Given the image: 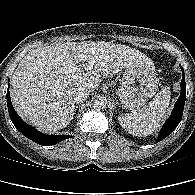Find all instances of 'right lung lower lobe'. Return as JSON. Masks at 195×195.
Segmentation results:
<instances>
[{
	"mask_svg": "<svg viewBox=\"0 0 195 195\" xmlns=\"http://www.w3.org/2000/svg\"><path fill=\"white\" fill-rule=\"evenodd\" d=\"M7 105L8 111L11 118V121L15 125V127L27 138L31 139L32 141L36 142L40 145H54L60 141H63L67 138H71L69 135H46L42 134L37 131L35 128L29 126L22 119L18 116L16 111L14 110L11 100H10V93H9V81H8V90H7Z\"/></svg>",
	"mask_w": 195,
	"mask_h": 195,
	"instance_id": "98d812e1",
	"label": "right lung lower lobe"
}]
</instances>
